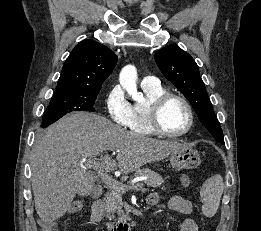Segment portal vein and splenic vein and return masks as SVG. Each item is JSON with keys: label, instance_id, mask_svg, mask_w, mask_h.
<instances>
[{"label": "portal vein and splenic vein", "instance_id": "portal-vein-and-splenic-vein-1", "mask_svg": "<svg viewBox=\"0 0 261 231\" xmlns=\"http://www.w3.org/2000/svg\"><path fill=\"white\" fill-rule=\"evenodd\" d=\"M87 166L89 168H93V169L97 170L100 178L102 179V181L111 189H115V190L126 192L127 190H140L144 186V184L142 182H138L137 184H135V185H133V186H131L129 188L123 186L120 182H118L117 180H115L112 177H110L109 175H107L101 169L100 162H98L94 158L88 160ZM140 180H142V179H140Z\"/></svg>", "mask_w": 261, "mask_h": 231}]
</instances>
